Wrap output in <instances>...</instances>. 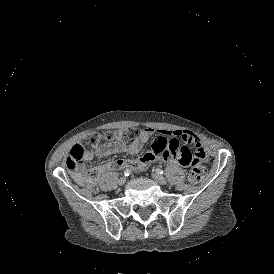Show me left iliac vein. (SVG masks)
Segmentation results:
<instances>
[{
  "label": "left iliac vein",
  "mask_w": 274,
  "mask_h": 274,
  "mask_svg": "<svg viewBox=\"0 0 274 274\" xmlns=\"http://www.w3.org/2000/svg\"><path fill=\"white\" fill-rule=\"evenodd\" d=\"M152 177L156 182H158L161 185H165L167 183L165 177L161 175L153 174Z\"/></svg>",
  "instance_id": "obj_1"
}]
</instances>
